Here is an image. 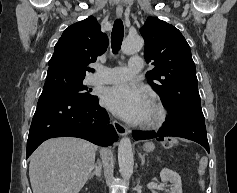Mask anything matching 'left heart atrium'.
<instances>
[{
    "label": "left heart atrium",
    "mask_w": 237,
    "mask_h": 193,
    "mask_svg": "<svg viewBox=\"0 0 237 193\" xmlns=\"http://www.w3.org/2000/svg\"><path fill=\"white\" fill-rule=\"evenodd\" d=\"M102 102L113 113L132 123L143 121L150 103L140 87L127 82L107 88Z\"/></svg>",
    "instance_id": "obj_1"
}]
</instances>
